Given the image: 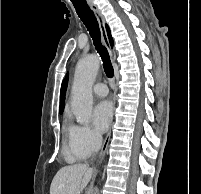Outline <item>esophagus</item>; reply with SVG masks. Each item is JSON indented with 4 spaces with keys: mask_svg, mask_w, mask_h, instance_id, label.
<instances>
[{
    "mask_svg": "<svg viewBox=\"0 0 201 194\" xmlns=\"http://www.w3.org/2000/svg\"><path fill=\"white\" fill-rule=\"evenodd\" d=\"M89 6L92 9V11L94 12L96 19L98 21L102 42L105 45V47L108 49L110 56L113 58V50H112V47H111V44H110V41H109V38L107 35V31H106V27H105V19H104L103 15L101 14L100 10L98 9V7L94 3L89 2ZM110 136H111V131L108 132V134L104 140V143L102 145V148H101V151L99 154L98 161H101L106 153V150L108 148V144L110 141Z\"/></svg>",
    "mask_w": 201,
    "mask_h": 194,
    "instance_id": "34e87169",
    "label": "esophagus"
}]
</instances>
